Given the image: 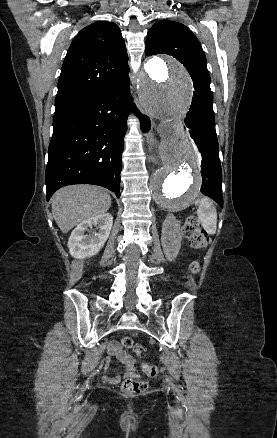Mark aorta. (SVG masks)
<instances>
[{
  "instance_id": "1",
  "label": "aorta",
  "mask_w": 277,
  "mask_h": 438,
  "mask_svg": "<svg viewBox=\"0 0 277 438\" xmlns=\"http://www.w3.org/2000/svg\"><path fill=\"white\" fill-rule=\"evenodd\" d=\"M191 87L185 68L171 58L149 59L137 77L141 106L160 121L162 165L152 175L151 191L157 205L168 211L188 207L201 186L198 151L183 128Z\"/></svg>"
}]
</instances>
